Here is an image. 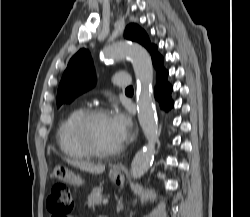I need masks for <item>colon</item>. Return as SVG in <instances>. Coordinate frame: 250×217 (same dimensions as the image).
<instances>
[{
	"label": "colon",
	"instance_id": "5ec220e1",
	"mask_svg": "<svg viewBox=\"0 0 250 217\" xmlns=\"http://www.w3.org/2000/svg\"><path fill=\"white\" fill-rule=\"evenodd\" d=\"M46 209L50 217H69L73 209V198L66 184L53 185L46 201Z\"/></svg>",
	"mask_w": 250,
	"mask_h": 217
}]
</instances>
